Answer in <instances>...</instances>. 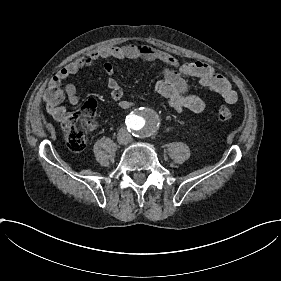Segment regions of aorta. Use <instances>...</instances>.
<instances>
[{"label":"aorta","mask_w":281,"mask_h":281,"mask_svg":"<svg viewBox=\"0 0 281 281\" xmlns=\"http://www.w3.org/2000/svg\"><path fill=\"white\" fill-rule=\"evenodd\" d=\"M161 123V117L150 107H140L127 118L128 126L140 136H149L157 131Z\"/></svg>","instance_id":"1"}]
</instances>
